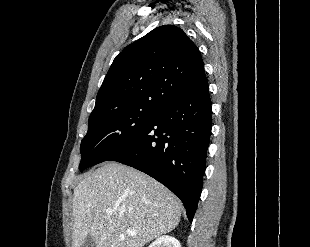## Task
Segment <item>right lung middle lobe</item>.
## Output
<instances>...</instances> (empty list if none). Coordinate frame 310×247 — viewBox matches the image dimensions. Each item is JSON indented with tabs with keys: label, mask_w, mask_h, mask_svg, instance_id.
<instances>
[{
	"label": "right lung middle lobe",
	"mask_w": 310,
	"mask_h": 247,
	"mask_svg": "<svg viewBox=\"0 0 310 247\" xmlns=\"http://www.w3.org/2000/svg\"><path fill=\"white\" fill-rule=\"evenodd\" d=\"M151 108H126L90 118L80 146V171L106 161L128 146L156 112Z\"/></svg>",
	"instance_id": "1"
}]
</instances>
